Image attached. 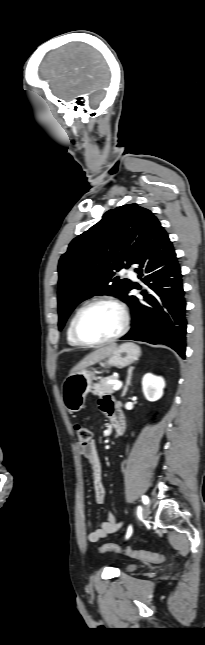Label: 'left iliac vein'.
I'll return each mask as SVG.
<instances>
[{
  "mask_svg": "<svg viewBox=\"0 0 205 645\" xmlns=\"http://www.w3.org/2000/svg\"><path fill=\"white\" fill-rule=\"evenodd\" d=\"M150 514V507L149 505H145L143 510H142V517L146 519Z\"/></svg>",
  "mask_w": 205,
  "mask_h": 645,
  "instance_id": "left-iliac-vein-1",
  "label": "left iliac vein"
}]
</instances>
